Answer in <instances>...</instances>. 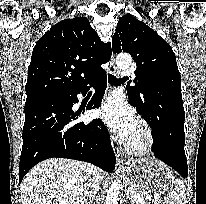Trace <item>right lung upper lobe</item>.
<instances>
[{"label":"right lung upper lobe","mask_w":206,"mask_h":204,"mask_svg":"<svg viewBox=\"0 0 206 204\" xmlns=\"http://www.w3.org/2000/svg\"><path fill=\"white\" fill-rule=\"evenodd\" d=\"M111 54V44L101 42L87 18L62 20L33 49L26 95L78 91L104 71Z\"/></svg>","instance_id":"obj_1"}]
</instances>
